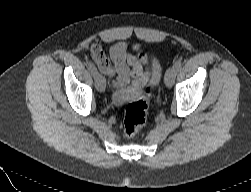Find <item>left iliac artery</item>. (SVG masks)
<instances>
[{"label": "left iliac artery", "instance_id": "obj_1", "mask_svg": "<svg viewBox=\"0 0 251 192\" xmlns=\"http://www.w3.org/2000/svg\"><path fill=\"white\" fill-rule=\"evenodd\" d=\"M182 66V62L180 60L176 61L174 64H173V68L178 71Z\"/></svg>", "mask_w": 251, "mask_h": 192}]
</instances>
